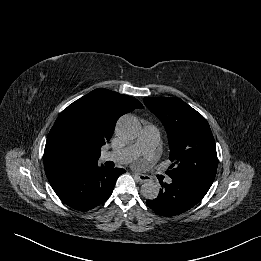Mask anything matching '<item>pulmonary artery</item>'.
<instances>
[{
    "label": "pulmonary artery",
    "instance_id": "e3ab8cb5",
    "mask_svg": "<svg viewBox=\"0 0 261 261\" xmlns=\"http://www.w3.org/2000/svg\"><path fill=\"white\" fill-rule=\"evenodd\" d=\"M160 139L159 129L152 124L144 126L138 139L132 145L117 151L106 152L101 155L102 161H113L118 164H127L141 154L153 155ZM167 183L172 179L167 178Z\"/></svg>",
    "mask_w": 261,
    "mask_h": 261
}]
</instances>
